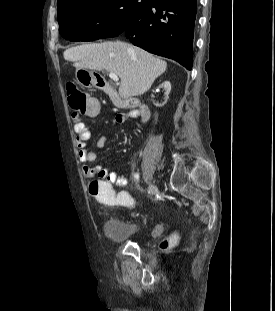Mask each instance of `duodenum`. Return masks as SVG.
I'll return each instance as SVG.
<instances>
[{"mask_svg":"<svg viewBox=\"0 0 275 311\" xmlns=\"http://www.w3.org/2000/svg\"><path fill=\"white\" fill-rule=\"evenodd\" d=\"M97 70H92L91 74L94 75L93 82L96 84L97 88L107 94L112 101L122 107H127V108H134L138 107L141 113V117L143 121H146L149 118V109L147 106L140 104L137 100L130 99V100H124L119 97L118 93L112 86V84L108 81H106L105 77H97Z\"/></svg>","mask_w":275,"mask_h":311,"instance_id":"410a0bca","label":"duodenum"}]
</instances>
